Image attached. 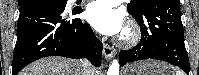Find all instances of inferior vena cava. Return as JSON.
Returning a JSON list of instances; mask_svg holds the SVG:
<instances>
[{"mask_svg": "<svg viewBox=\"0 0 199 75\" xmlns=\"http://www.w3.org/2000/svg\"><path fill=\"white\" fill-rule=\"evenodd\" d=\"M80 62L84 65L85 72H86L87 75H93L94 74L95 69L90 65V63L86 59L81 60Z\"/></svg>", "mask_w": 199, "mask_h": 75, "instance_id": "inferior-vena-cava-1", "label": "inferior vena cava"}]
</instances>
